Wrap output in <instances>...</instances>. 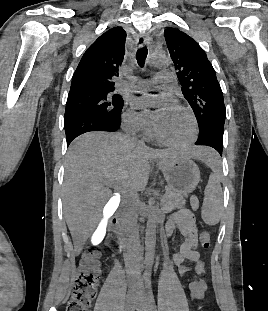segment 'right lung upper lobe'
<instances>
[{
    "mask_svg": "<svg viewBox=\"0 0 268 311\" xmlns=\"http://www.w3.org/2000/svg\"><path fill=\"white\" fill-rule=\"evenodd\" d=\"M126 32L114 27L103 33L84 53L73 75L70 90L88 88L114 91L125 54Z\"/></svg>",
    "mask_w": 268,
    "mask_h": 311,
    "instance_id": "1",
    "label": "right lung upper lobe"
}]
</instances>
